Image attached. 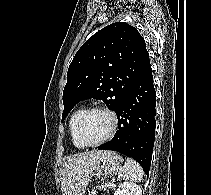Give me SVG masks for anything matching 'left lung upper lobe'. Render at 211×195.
<instances>
[{"instance_id": "left-lung-upper-lobe-1", "label": "left lung upper lobe", "mask_w": 211, "mask_h": 195, "mask_svg": "<svg viewBox=\"0 0 211 195\" xmlns=\"http://www.w3.org/2000/svg\"><path fill=\"white\" fill-rule=\"evenodd\" d=\"M144 38L125 22L106 26L77 51L67 72L62 121L84 99L102 100L115 112L149 65Z\"/></svg>"}]
</instances>
